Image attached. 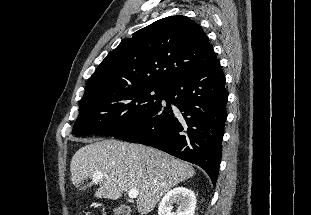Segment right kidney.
I'll use <instances>...</instances> for the list:
<instances>
[{"label":"right kidney","instance_id":"1","mask_svg":"<svg viewBox=\"0 0 311 215\" xmlns=\"http://www.w3.org/2000/svg\"><path fill=\"white\" fill-rule=\"evenodd\" d=\"M173 204H177L178 208L172 211ZM196 207V196L194 192L186 187H176L170 190L162 198L158 215H194Z\"/></svg>","mask_w":311,"mask_h":215}]
</instances>
